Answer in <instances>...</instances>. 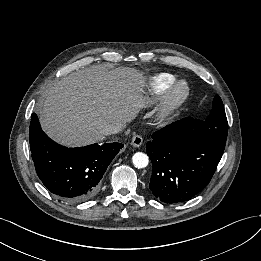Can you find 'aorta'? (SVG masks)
I'll use <instances>...</instances> for the list:
<instances>
[{
	"instance_id": "aorta-1",
	"label": "aorta",
	"mask_w": 261,
	"mask_h": 261,
	"mask_svg": "<svg viewBox=\"0 0 261 261\" xmlns=\"http://www.w3.org/2000/svg\"><path fill=\"white\" fill-rule=\"evenodd\" d=\"M134 166L138 169L147 167L149 158L145 153L137 152L132 157Z\"/></svg>"
}]
</instances>
